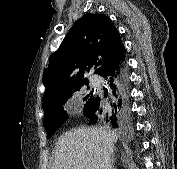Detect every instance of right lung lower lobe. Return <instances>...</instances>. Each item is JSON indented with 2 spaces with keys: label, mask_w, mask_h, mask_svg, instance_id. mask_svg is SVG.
<instances>
[{
  "label": "right lung lower lobe",
  "mask_w": 177,
  "mask_h": 169,
  "mask_svg": "<svg viewBox=\"0 0 177 169\" xmlns=\"http://www.w3.org/2000/svg\"><path fill=\"white\" fill-rule=\"evenodd\" d=\"M105 79L109 93L104 97L95 96L89 110L84 113L90 118L89 124L106 121L118 127L129 116L128 74L125 59L105 68L100 74Z\"/></svg>",
  "instance_id": "right-lung-lower-lobe-1"
}]
</instances>
